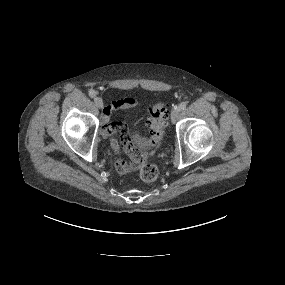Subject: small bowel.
Here are the masks:
<instances>
[{"label": "small bowel", "mask_w": 285, "mask_h": 285, "mask_svg": "<svg viewBox=\"0 0 285 285\" xmlns=\"http://www.w3.org/2000/svg\"><path fill=\"white\" fill-rule=\"evenodd\" d=\"M137 104L136 100L133 99V98H130V97H127V98H122V99H117V100H114L112 101L108 106H106L102 112V121L104 123H106L108 120H109V117H110V114L112 111L114 110H119V109H129V108H133L135 107ZM112 124H117L119 126H121V128L126 131V127L122 124V123H119V122H116V123H112ZM112 124H109V125H106L104 130H103V134L105 136L107 135H110V134H113V131L111 129V125ZM122 144H123V140H122ZM112 145L115 149H118L119 148V144L117 141H113L112 142ZM116 169L119 173L121 174H125L127 173L132 167L130 166L129 163H127L126 161L124 160H118L116 162Z\"/></svg>", "instance_id": "1"}]
</instances>
